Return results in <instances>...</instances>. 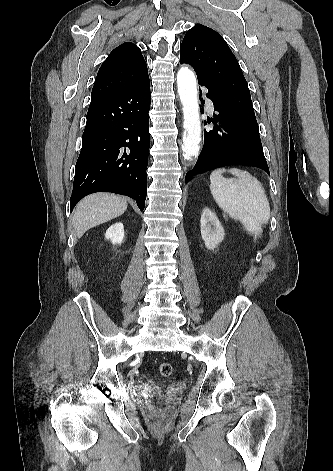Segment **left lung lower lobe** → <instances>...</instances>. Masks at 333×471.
I'll return each instance as SVG.
<instances>
[{"label":"left lung lower lobe","mask_w":333,"mask_h":471,"mask_svg":"<svg viewBox=\"0 0 333 471\" xmlns=\"http://www.w3.org/2000/svg\"><path fill=\"white\" fill-rule=\"evenodd\" d=\"M198 83L208 89L207 97L213 102L216 111L212 119L215 126L212 130H204L203 149L185 180L228 165L254 166L270 174L258 127L233 112L213 85L199 77Z\"/></svg>","instance_id":"0a47b994"}]
</instances>
